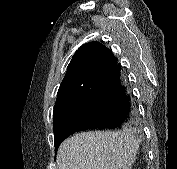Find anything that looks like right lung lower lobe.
Wrapping results in <instances>:
<instances>
[{
  "label": "right lung lower lobe",
  "instance_id": "obj_1",
  "mask_svg": "<svg viewBox=\"0 0 177 169\" xmlns=\"http://www.w3.org/2000/svg\"><path fill=\"white\" fill-rule=\"evenodd\" d=\"M89 100L76 115L59 122L55 148L69 135L88 129H114L136 117V107L125 74L113 59L87 82Z\"/></svg>",
  "mask_w": 177,
  "mask_h": 169
}]
</instances>
